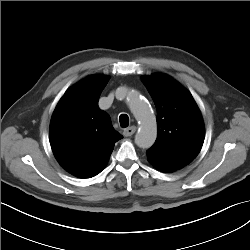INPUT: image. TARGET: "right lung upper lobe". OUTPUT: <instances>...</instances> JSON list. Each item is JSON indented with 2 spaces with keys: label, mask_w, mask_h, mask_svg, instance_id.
<instances>
[{
  "label": "right lung upper lobe",
  "mask_w": 250,
  "mask_h": 250,
  "mask_svg": "<svg viewBox=\"0 0 250 250\" xmlns=\"http://www.w3.org/2000/svg\"><path fill=\"white\" fill-rule=\"evenodd\" d=\"M109 78L90 76L72 86L53 113L50 143L59 164L76 177L97 175L106 165L115 143L123 136L109 115L98 107Z\"/></svg>",
  "instance_id": "1"
}]
</instances>
